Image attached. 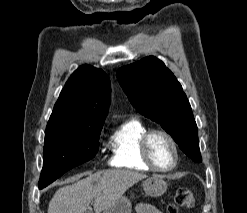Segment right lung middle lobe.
Wrapping results in <instances>:
<instances>
[{"instance_id":"1","label":"right lung middle lobe","mask_w":247,"mask_h":213,"mask_svg":"<svg viewBox=\"0 0 247 213\" xmlns=\"http://www.w3.org/2000/svg\"><path fill=\"white\" fill-rule=\"evenodd\" d=\"M101 130L102 126L46 127L39 188L46 187L69 169L92 159L98 151Z\"/></svg>"}]
</instances>
